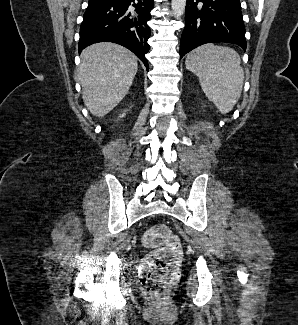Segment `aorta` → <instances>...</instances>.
<instances>
[{"instance_id":"aorta-1","label":"aorta","mask_w":298,"mask_h":325,"mask_svg":"<svg viewBox=\"0 0 298 325\" xmlns=\"http://www.w3.org/2000/svg\"><path fill=\"white\" fill-rule=\"evenodd\" d=\"M171 6L175 18H180L185 12L186 0H171Z\"/></svg>"}]
</instances>
